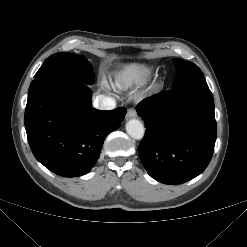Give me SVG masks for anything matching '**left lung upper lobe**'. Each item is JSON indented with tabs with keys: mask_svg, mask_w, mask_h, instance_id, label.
Returning <instances> with one entry per match:
<instances>
[{
	"mask_svg": "<svg viewBox=\"0 0 247 247\" xmlns=\"http://www.w3.org/2000/svg\"><path fill=\"white\" fill-rule=\"evenodd\" d=\"M174 63L178 74L172 90L208 87L202 71L195 64L179 58H174Z\"/></svg>",
	"mask_w": 247,
	"mask_h": 247,
	"instance_id": "left-lung-upper-lobe-1",
	"label": "left lung upper lobe"
}]
</instances>
